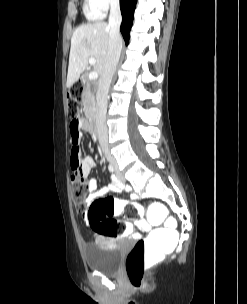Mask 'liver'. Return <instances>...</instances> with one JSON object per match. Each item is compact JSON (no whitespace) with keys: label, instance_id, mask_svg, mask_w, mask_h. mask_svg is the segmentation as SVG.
<instances>
[{"label":"liver","instance_id":"obj_1","mask_svg":"<svg viewBox=\"0 0 247 304\" xmlns=\"http://www.w3.org/2000/svg\"><path fill=\"white\" fill-rule=\"evenodd\" d=\"M110 27L106 22L82 24L71 38L66 86L70 88L87 68L89 58L94 57V70L99 76L107 61Z\"/></svg>","mask_w":247,"mask_h":304}]
</instances>
